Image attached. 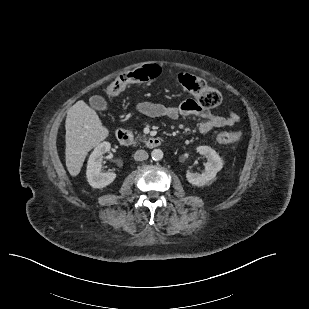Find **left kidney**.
I'll use <instances>...</instances> for the list:
<instances>
[{"label":"left kidney","instance_id":"1","mask_svg":"<svg viewBox=\"0 0 309 309\" xmlns=\"http://www.w3.org/2000/svg\"><path fill=\"white\" fill-rule=\"evenodd\" d=\"M197 151L206 157L207 162L203 173L187 172L186 178L192 185L201 187L216 177L217 172L223 168V161L217 152L209 146H199Z\"/></svg>","mask_w":309,"mask_h":309}]
</instances>
